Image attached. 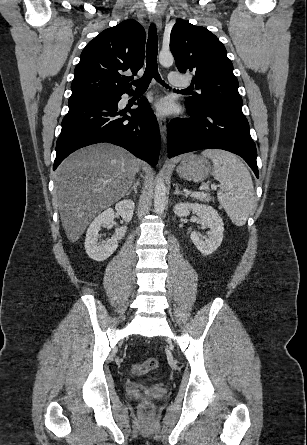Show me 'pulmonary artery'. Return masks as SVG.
<instances>
[{"label": "pulmonary artery", "mask_w": 307, "mask_h": 445, "mask_svg": "<svg viewBox=\"0 0 307 445\" xmlns=\"http://www.w3.org/2000/svg\"><path fill=\"white\" fill-rule=\"evenodd\" d=\"M166 81L168 84H174L176 90H187L190 87L187 75H178L175 69L170 70Z\"/></svg>", "instance_id": "e3ab8cb5"}]
</instances>
